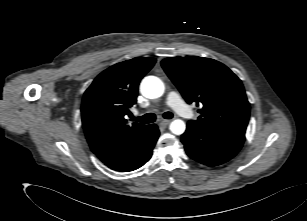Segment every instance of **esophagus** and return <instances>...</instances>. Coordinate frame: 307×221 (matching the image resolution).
I'll return each instance as SVG.
<instances>
[{
    "instance_id": "34e87169",
    "label": "esophagus",
    "mask_w": 307,
    "mask_h": 221,
    "mask_svg": "<svg viewBox=\"0 0 307 221\" xmlns=\"http://www.w3.org/2000/svg\"><path fill=\"white\" fill-rule=\"evenodd\" d=\"M171 121L170 120H162L159 125L162 127H166Z\"/></svg>"
}]
</instances>
